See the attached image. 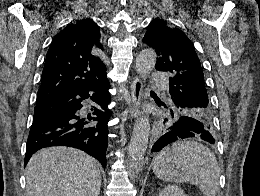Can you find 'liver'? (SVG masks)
<instances>
[{
	"instance_id": "liver-1",
	"label": "liver",
	"mask_w": 260,
	"mask_h": 196,
	"mask_svg": "<svg viewBox=\"0 0 260 196\" xmlns=\"http://www.w3.org/2000/svg\"><path fill=\"white\" fill-rule=\"evenodd\" d=\"M99 164L75 148H43L26 166L27 196H99Z\"/></svg>"
}]
</instances>
